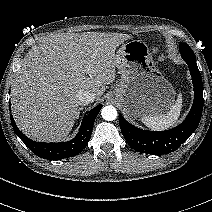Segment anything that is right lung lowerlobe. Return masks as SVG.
Segmentation results:
<instances>
[{
	"label": "right lung lower lobe",
	"mask_w": 212,
	"mask_h": 212,
	"mask_svg": "<svg viewBox=\"0 0 212 212\" xmlns=\"http://www.w3.org/2000/svg\"><path fill=\"white\" fill-rule=\"evenodd\" d=\"M102 106L101 104L96 106L84 116L81 128L75 138L60 143H42L31 140L18 129L12 114H10V118L16 135L34 154L44 159L59 160L75 156L87 146L95 119ZM9 110L11 111L10 102Z\"/></svg>",
	"instance_id": "98d812e1"
}]
</instances>
